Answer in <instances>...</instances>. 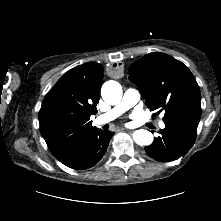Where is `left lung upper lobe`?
<instances>
[{
  "label": "left lung upper lobe",
  "mask_w": 221,
  "mask_h": 221,
  "mask_svg": "<svg viewBox=\"0 0 221 221\" xmlns=\"http://www.w3.org/2000/svg\"><path fill=\"white\" fill-rule=\"evenodd\" d=\"M128 73L144 96L147 107L151 111H165L163 121L201 117L199 86L182 62L153 52L133 63Z\"/></svg>",
  "instance_id": "left-lung-upper-lobe-1"
}]
</instances>
